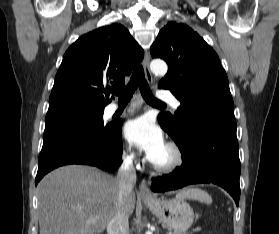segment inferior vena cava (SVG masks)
<instances>
[{
    "label": "inferior vena cava",
    "instance_id": "1",
    "mask_svg": "<svg viewBox=\"0 0 279 234\" xmlns=\"http://www.w3.org/2000/svg\"><path fill=\"white\" fill-rule=\"evenodd\" d=\"M115 179L119 188L118 211L107 224V234H129V220L123 212V204L136 183V171L130 158L123 161Z\"/></svg>",
    "mask_w": 279,
    "mask_h": 234
}]
</instances>
